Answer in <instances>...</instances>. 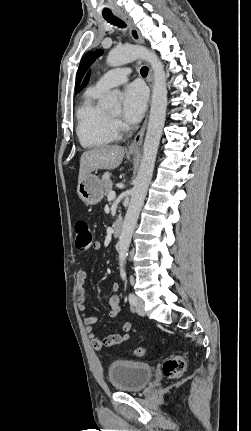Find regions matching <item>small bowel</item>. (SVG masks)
<instances>
[{
	"mask_svg": "<svg viewBox=\"0 0 251 431\" xmlns=\"http://www.w3.org/2000/svg\"><path fill=\"white\" fill-rule=\"evenodd\" d=\"M94 249L99 252L101 251L100 243H96L94 245ZM87 279V272L85 268H80L76 274V285H77V306L83 316V321L86 326V333L91 341V345L95 350H101L104 347H113L118 346L126 342L129 338V332L131 330L130 322H123L121 324V333L111 334L104 338H101L97 335L94 326L97 323V318L93 316H89L85 313L86 310V292L84 288V284ZM119 284L113 283L112 290L114 292L118 291ZM120 297L117 294H114L109 299V311L108 315L111 318H115L120 314Z\"/></svg>",
	"mask_w": 251,
	"mask_h": 431,
	"instance_id": "small-bowel-1",
	"label": "small bowel"
}]
</instances>
